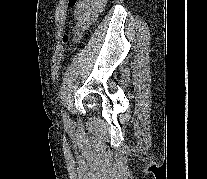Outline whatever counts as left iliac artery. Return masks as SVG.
<instances>
[{
    "instance_id": "obj_1",
    "label": "left iliac artery",
    "mask_w": 207,
    "mask_h": 179,
    "mask_svg": "<svg viewBox=\"0 0 207 179\" xmlns=\"http://www.w3.org/2000/svg\"><path fill=\"white\" fill-rule=\"evenodd\" d=\"M63 119L66 120V121H69L70 120L69 119V116H67L66 113H63Z\"/></svg>"
}]
</instances>
